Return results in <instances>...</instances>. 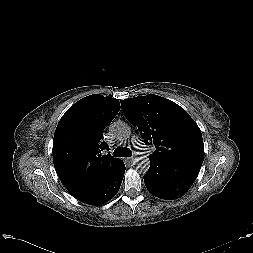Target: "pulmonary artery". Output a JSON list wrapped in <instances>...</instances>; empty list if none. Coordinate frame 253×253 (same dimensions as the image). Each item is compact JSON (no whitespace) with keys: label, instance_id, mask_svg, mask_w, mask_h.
Segmentation results:
<instances>
[{"label":"pulmonary artery","instance_id":"pulmonary-artery-1","mask_svg":"<svg viewBox=\"0 0 253 253\" xmlns=\"http://www.w3.org/2000/svg\"><path fill=\"white\" fill-rule=\"evenodd\" d=\"M133 140L141 146V149H145V147L139 143V140H137L136 138H134Z\"/></svg>","mask_w":253,"mask_h":253}]
</instances>
